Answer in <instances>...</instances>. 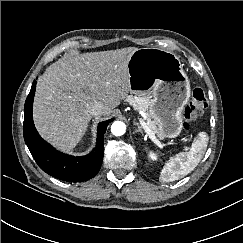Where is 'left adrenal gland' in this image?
Returning <instances> with one entry per match:
<instances>
[{"label": "left adrenal gland", "mask_w": 243, "mask_h": 243, "mask_svg": "<svg viewBox=\"0 0 243 243\" xmlns=\"http://www.w3.org/2000/svg\"><path fill=\"white\" fill-rule=\"evenodd\" d=\"M135 125L138 126V129L135 130V133L140 132L141 134H143V131H142V128H141L140 124L136 122Z\"/></svg>", "instance_id": "left-adrenal-gland-1"}]
</instances>
